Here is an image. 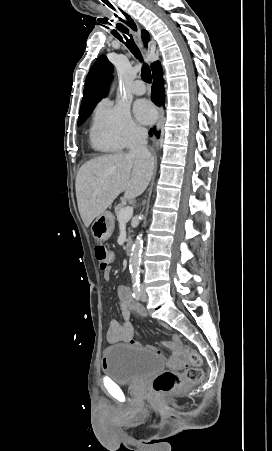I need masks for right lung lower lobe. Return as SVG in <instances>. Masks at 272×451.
<instances>
[{
  "label": "right lung lower lobe",
  "instance_id": "right-lung-lower-lobe-1",
  "mask_svg": "<svg viewBox=\"0 0 272 451\" xmlns=\"http://www.w3.org/2000/svg\"><path fill=\"white\" fill-rule=\"evenodd\" d=\"M152 75L154 83L152 85V101L157 105H164L165 102V92H164V79L163 71L160 63L158 62L152 69ZM152 131L155 135H159L156 129H151L149 134L152 135Z\"/></svg>",
  "mask_w": 272,
  "mask_h": 451
}]
</instances>
